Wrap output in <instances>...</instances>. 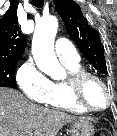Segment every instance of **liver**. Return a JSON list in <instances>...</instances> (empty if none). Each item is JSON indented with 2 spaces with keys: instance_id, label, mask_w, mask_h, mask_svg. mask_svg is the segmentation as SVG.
<instances>
[{
  "instance_id": "obj_1",
  "label": "liver",
  "mask_w": 117,
  "mask_h": 136,
  "mask_svg": "<svg viewBox=\"0 0 117 136\" xmlns=\"http://www.w3.org/2000/svg\"><path fill=\"white\" fill-rule=\"evenodd\" d=\"M75 116L36 105L20 92L0 88V136H56Z\"/></svg>"
}]
</instances>
